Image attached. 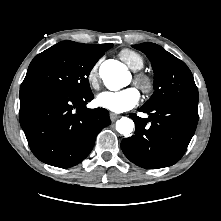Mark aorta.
I'll return each instance as SVG.
<instances>
[{
	"mask_svg": "<svg viewBox=\"0 0 221 221\" xmlns=\"http://www.w3.org/2000/svg\"><path fill=\"white\" fill-rule=\"evenodd\" d=\"M127 74L124 65L118 62L106 61L100 66V76L110 90H118L122 85V80ZM134 129V122L127 117H122L116 122V130L124 135L128 136Z\"/></svg>",
	"mask_w": 221,
	"mask_h": 221,
	"instance_id": "1",
	"label": "aorta"
}]
</instances>
